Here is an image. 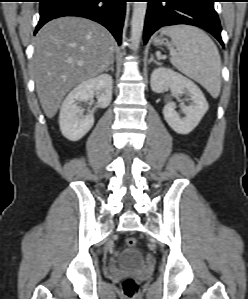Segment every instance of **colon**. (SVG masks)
I'll return each instance as SVG.
<instances>
[{
	"instance_id": "5ec220e1",
	"label": "colon",
	"mask_w": 248,
	"mask_h": 299,
	"mask_svg": "<svg viewBox=\"0 0 248 299\" xmlns=\"http://www.w3.org/2000/svg\"><path fill=\"white\" fill-rule=\"evenodd\" d=\"M125 244L128 247H134L137 244V239L133 236L127 237L125 239ZM138 288V282L134 278L128 277L122 282V290L127 297L134 296L137 293Z\"/></svg>"
}]
</instances>
